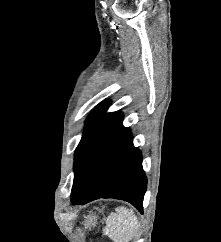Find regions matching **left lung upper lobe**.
<instances>
[{"label":"left lung upper lobe","instance_id":"5c2ea615","mask_svg":"<svg viewBox=\"0 0 221 242\" xmlns=\"http://www.w3.org/2000/svg\"><path fill=\"white\" fill-rule=\"evenodd\" d=\"M109 103L110 101L102 102L88 117L82 139L75 151L74 173L103 136L123 120V114L119 111L106 113Z\"/></svg>","mask_w":221,"mask_h":242}]
</instances>
